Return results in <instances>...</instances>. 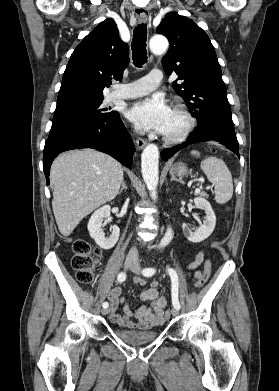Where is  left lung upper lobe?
Listing matches in <instances>:
<instances>
[{
  "label": "left lung upper lobe",
  "instance_id": "obj_1",
  "mask_svg": "<svg viewBox=\"0 0 279 391\" xmlns=\"http://www.w3.org/2000/svg\"><path fill=\"white\" fill-rule=\"evenodd\" d=\"M157 33L170 42L163 69L169 76L178 75L173 88L196 117L198 127L207 122L234 127L220 64L208 35L191 19L175 13L166 15Z\"/></svg>",
  "mask_w": 279,
  "mask_h": 391
}]
</instances>
